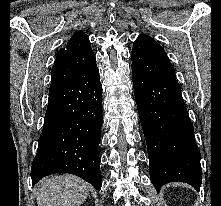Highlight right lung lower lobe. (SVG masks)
<instances>
[{"label":"right lung lower lobe","instance_id":"98d812e1","mask_svg":"<svg viewBox=\"0 0 221 206\" xmlns=\"http://www.w3.org/2000/svg\"><path fill=\"white\" fill-rule=\"evenodd\" d=\"M101 94L96 64L50 87L44 126L31 167L32 185L44 176L62 172L77 175L101 189Z\"/></svg>","mask_w":221,"mask_h":206}]
</instances>
